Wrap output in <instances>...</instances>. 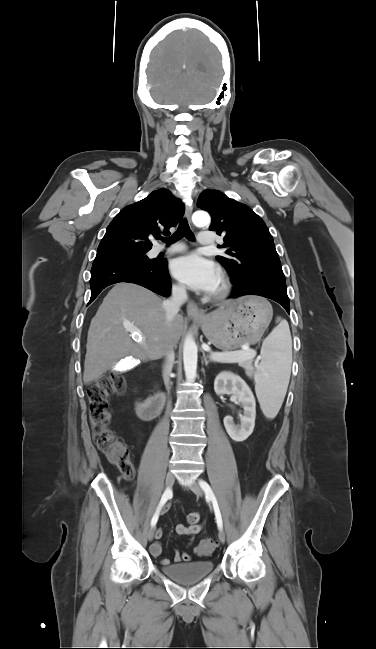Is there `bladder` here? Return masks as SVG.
<instances>
[{
    "mask_svg": "<svg viewBox=\"0 0 376 649\" xmlns=\"http://www.w3.org/2000/svg\"><path fill=\"white\" fill-rule=\"evenodd\" d=\"M214 569L210 560L172 564L161 568L164 575L180 584H194L207 577Z\"/></svg>",
    "mask_w": 376,
    "mask_h": 649,
    "instance_id": "1",
    "label": "bladder"
}]
</instances>
